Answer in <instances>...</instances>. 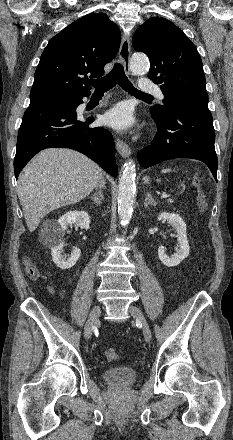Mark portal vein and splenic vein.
<instances>
[{"label":"portal vein and splenic vein","instance_id":"18ae733b","mask_svg":"<svg viewBox=\"0 0 233 440\" xmlns=\"http://www.w3.org/2000/svg\"><path fill=\"white\" fill-rule=\"evenodd\" d=\"M170 195H167V194H163L162 196H161V198L163 199V198H168Z\"/></svg>","mask_w":233,"mask_h":440}]
</instances>
